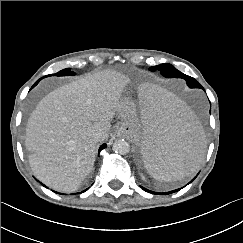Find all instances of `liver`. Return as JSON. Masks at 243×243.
Masks as SVG:
<instances>
[{"label":"liver","instance_id":"6515ba94","mask_svg":"<svg viewBox=\"0 0 243 243\" xmlns=\"http://www.w3.org/2000/svg\"><path fill=\"white\" fill-rule=\"evenodd\" d=\"M128 84L125 75L104 70L59 87L38 103L28 119L25 146L41 182L64 193L80 187L93 170V135L107 139Z\"/></svg>","mask_w":243,"mask_h":243}]
</instances>
